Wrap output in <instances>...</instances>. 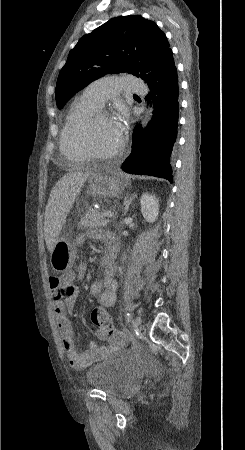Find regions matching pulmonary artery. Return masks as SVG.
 Wrapping results in <instances>:
<instances>
[{
	"mask_svg": "<svg viewBox=\"0 0 245 450\" xmlns=\"http://www.w3.org/2000/svg\"><path fill=\"white\" fill-rule=\"evenodd\" d=\"M144 87L145 83L134 76H105L87 85L83 94L97 106L102 107L111 97L120 93H140Z\"/></svg>",
	"mask_w": 245,
	"mask_h": 450,
	"instance_id": "e3ab8cb5",
	"label": "pulmonary artery"
}]
</instances>
